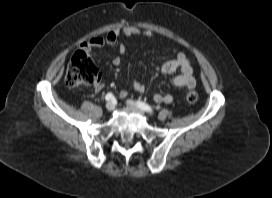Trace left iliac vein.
<instances>
[{
  "label": "left iliac vein",
  "instance_id": "1",
  "mask_svg": "<svg viewBox=\"0 0 272 198\" xmlns=\"http://www.w3.org/2000/svg\"><path fill=\"white\" fill-rule=\"evenodd\" d=\"M126 104L132 110H134L142 115L144 114V112L138 107V105L133 100H127Z\"/></svg>",
  "mask_w": 272,
  "mask_h": 198
}]
</instances>
